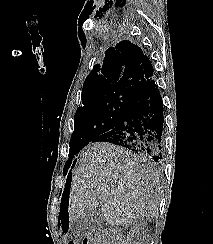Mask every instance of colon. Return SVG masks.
<instances>
[{"label": "colon", "mask_w": 213, "mask_h": 244, "mask_svg": "<svg viewBox=\"0 0 213 244\" xmlns=\"http://www.w3.org/2000/svg\"><path fill=\"white\" fill-rule=\"evenodd\" d=\"M68 244H78L77 242H69ZM83 244H113L110 239L102 234H94L92 238L85 237Z\"/></svg>", "instance_id": "5ec220e1"}]
</instances>
